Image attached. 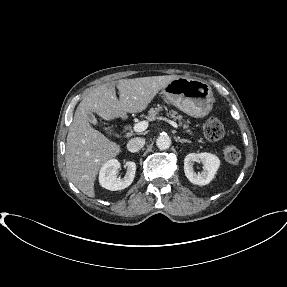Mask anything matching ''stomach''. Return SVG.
Wrapping results in <instances>:
<instances>
[{
  "mask_svg": "<svg viewBox=\"0 0 287 287\" xmlns=\"http://www.w3.org/2000/svg\"><path fill=\"white\" fill-rule=\"evenodd\" d=\"M162 96L181 111L194 117H204L212 110L214 97L204 81L178 77L162 90Z\"/></svg>",
  "mask_w": 287,
  "mask_h": 287,
  "instance_id": "0dacf381",
  "label": "stomach"
}]
</instances>
